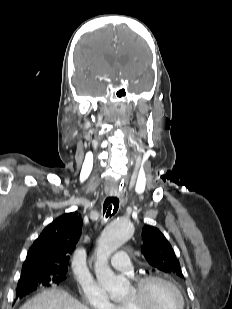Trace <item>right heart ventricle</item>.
Returning <instances> with one entry per match:
<instances>
[{"instance_id":"obj_1","label":"right heart ventricle","mask_w":232,"mask_h":309,"mask_svg":"<svg viewBox=\"0 0 232 309\" xmlns=\"http://www.w3.org/2000/svg\"><path fill=\"white\" fill-rule=\"evenodd\" d=\"M116 309H129V307L124 302V303L117 304Z\"/></svg>"}]
</instances>
